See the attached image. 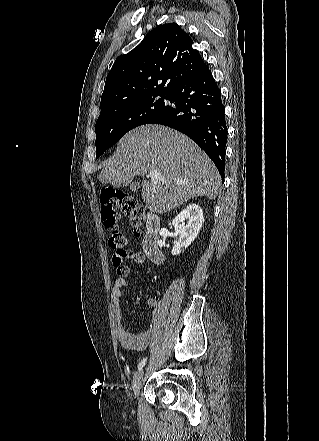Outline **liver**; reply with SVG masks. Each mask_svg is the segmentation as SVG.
<instances>
[{
    "mask_svg": "<svg viewBox=\"0 0 319 441\" xmlns=\"http://www.w3.org/2000/svg\"><path fill=\"white\" fill-rule=\"evenodd\" d=\"M151 170L165 178L142 182L143 201L154 213L167 212L194 197L218 196L221 177L211 159L190 138L162 125L146 124L125 134L98 178L102 184L124 187Z\"/></svg>",
    "mask_w": 319,
    "mask_h": 441,
    "instance_id": "1",
    "label": "liver"
}]
</instances>
